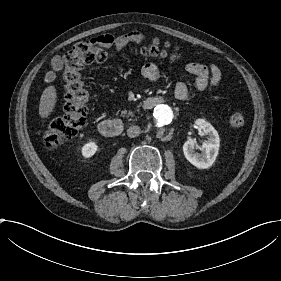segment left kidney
I'll return each mask as SVG.
<instances>
[{
	"label": "left kidney",
	"instance_id": "obj_1",
	"mask_svg": "<svg viewBox=\"0 0 281 281\" xmlns=\"http://www.w3.org/2000/svg\"><path fill=\"white\" fill-rule=\"evenodd\" d=\"M197 124L203 131V134L208 137V141L203 143V153L194 151V144L191 141H186L183 145V154L188 162L197 169H207L214 163L219 150V135L217 131L206 121L197 120Z\"/></svg>",
	"mask_w": 281,
	"mask_h": 281
}]
</instances>
